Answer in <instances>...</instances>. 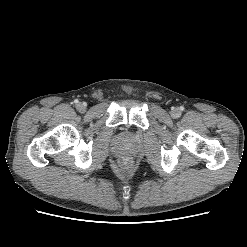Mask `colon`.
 Wrapping results in <instances>:
<instances>
[{
	"mask_svg": "<svg viewBox=\"0 0 247 247\" xmlns=\"http://www.w3.org/2000/svg\"><path fill=\"white\" fill-rule=\"evenodd\" d=\"M120 167L121 169H126L128 167V162L126 161L121 162Z\"/></svg>",
	"mask_w": 247,
	"mask_h": 247,
	"instance_id": "colon-1",
	"label": "colon"
}]
</instances>
